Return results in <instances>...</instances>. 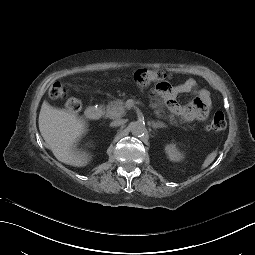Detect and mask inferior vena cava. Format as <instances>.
I'll return each instance as SVG.
<instances>
[{
  "label": "inferior vena cava",
  "instance_id": "1",
  "mask_svg": "<svg viewBox=\"0 0 255 255\" xmlns=\"http://www.w3.org/2000/svg\"><path fill=\"white\" fill-rule=\"evenodd\" d=\"M124 124V121L123 120H115V121H113L110 125L112 126V127H118V126H121V125H123Z\"/></svg>",
  "mask_w": 255,
  "mask_h": 255
}]
</instances>
